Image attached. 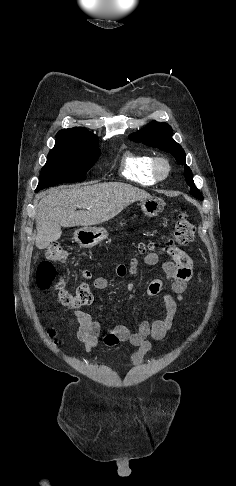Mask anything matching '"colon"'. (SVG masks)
Returning <instances> with one entry per match:
<instances>
[{"label": "colon", "instance_id": "5ec220e1", "mask_svg": "<svg viewBox=\"0 0 236 486\" xmlns=\"http://www.w3.org/2000/svg\"><path fill=\"white\" fill-rule=\"evenodd\" d=\"M195 236V227L192 224L189 216L186 213H180L175 222L174 232L170 241L171 246H186L192 242ZM151 244H141L139 249L145 253L150 250ZM67 259V252L65 249L53 243L49 245L45 251V259L39 264L37 270L36 281L41 289H47L52 284L55 275V263L63 262ZM88 273L85 274L87 278ZM59 290V301L61 305L68 309H79L87 306L92 302V293L88 283L82 282L79 284L74 292H69L64 288L63 283L57 285Z\"/></svg>", "mask_w": 236, "mask_h": 486}]
</instances>
